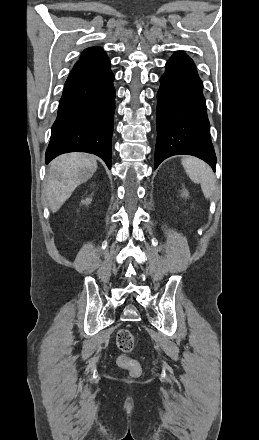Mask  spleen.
<instances>
[{
	"label": "spleen",
	"instance_id": "1",
	"mask_svg": "<svg viewBox=\"0 0 259 440\" xmlns=\"http://www.w3.org/2000/svg\"><path fill=\"white\" fill-rule=\"evenodd\" d=\"M182 165L194 183H200L203 194L211 198L216 189L215 178L211 168L200 159L186 157L182 159Z\"/></svg>",
	"mask_w": 259,
	"mask_h": 440
}]
</instances>
